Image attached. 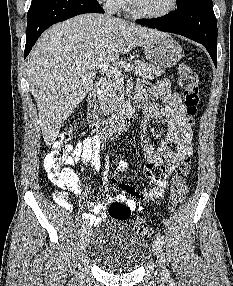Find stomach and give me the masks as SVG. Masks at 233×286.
Instances as JSON below:
<instances>
[{"label": "stomach", "mask_w": 233, "mask_h": 286, "mask_svg": "<svg viewBox=\"0 0 233 286\" xmlns=\"http://www.w3.org/2000/svg\"><path fill=\"white\" fill-rule=\"evenodd\" d=\"M144 50L150 64L160 68L172 67L182 58V48L168 34L145 45Z\"/></svg>", "instance_id": "obj_1"}]
</instances>
